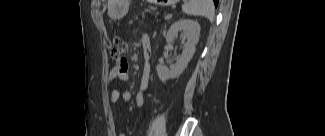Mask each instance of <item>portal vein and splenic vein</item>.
Segmentation results:
<instances>
[{
  "label": "portal vein and splenic vein",
  "mask_w": 325,
  "mask_h": 136,
  "mask_svg": "<svg viewBox=\"0 0 325 136\" xmlns=\"http://www.w3.org/2000/svg\"><path fill=\"white\" fill-rule=\"evenodd\" d=\"M171 17H172L171 14H167V15H165V19H169V18H171Z\"/></svg>",
  "instance_id": "1"
}]
</instances>
